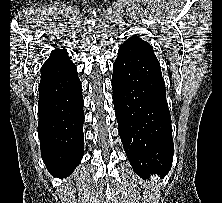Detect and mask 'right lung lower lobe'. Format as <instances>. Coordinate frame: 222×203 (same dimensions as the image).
Wrapping results in <instances>:
<instances>
[{
	"label": "right lung lower lobe",
	"instance_id": "obj_1",
	"mask_svg": "<svg viewBox=\"0 0 222 203\" xmlns=\"http://www.w3.org/2000/svg\"><path fill=\"white\" fill-rule=\"evenodd\" d=\"M83 104L73 62H45L39 84L38 135L42 159L55 177L70 175L83 157Z\"/></svg>",
	"mask_w": 222,
	"mask_h": 203
}]
</instances>
